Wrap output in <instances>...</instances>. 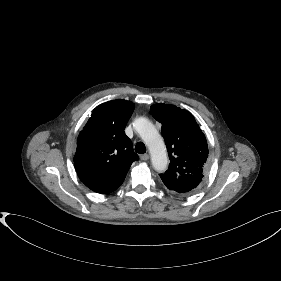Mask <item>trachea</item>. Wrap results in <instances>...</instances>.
Instances as JSON below:
<instances>
[{
  "instance_id": "trachea-1",
  "label": "trachea",
  "mask_w": 281,
  "mask_h": 281,
  "mask_svg": "<svg viewBox=\"0 0 281 281\" xmlns=\"http://www.w3.org/2000/svg\"><path fill=\"white\" fill-rule=\"evenodd\" d=\"M135 151L139 154H143L146 152V147L144 145V143L142 142H138L135 146Z\"/></svg>"
}]
</instances>
